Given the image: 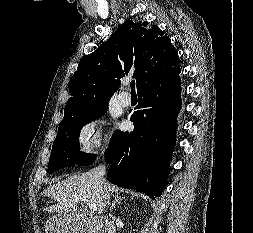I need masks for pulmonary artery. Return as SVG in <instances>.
Here are the masks:
<instances>
[{"label": "pulmonary artery", "instance_id": "e3ab8cb5", "mask_svg": "<svg viewBox=\"0 0 253 233\" xmlns=\"http://www.w3.org/2000/svg\"><path fill=\"white\" fill-rule=\"evenodd\" d=\"M118 101L121 106L128 107L131 103V98L126 92H123L118 96Z\"/></svg>", "mask_w": 253, "mask_h": 233}]
</instances>
